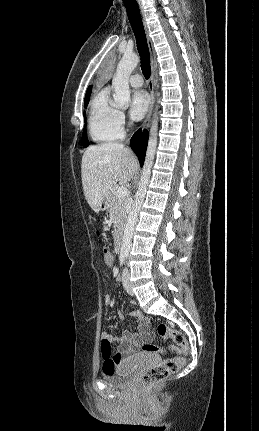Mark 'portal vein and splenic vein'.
<instances>
[{"mask_svg":"<svg viewBox=\"0 0 259 431\" xmlns=\"http://www.w3.org/2000/svg\"><path fill=\"white\" fill-rule=\"evenodd\" d=\"M128 195V190L124 186H120L117 188V196L118 197H125Z\"/></svg>","mask_w":259,"mask_h":431,"instance_id":"portal-vein-and-splenic-vein-1","label":"portal vein and splenic vein"}]
</instances>
